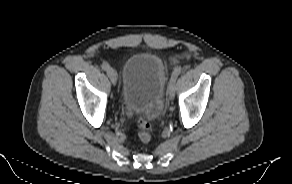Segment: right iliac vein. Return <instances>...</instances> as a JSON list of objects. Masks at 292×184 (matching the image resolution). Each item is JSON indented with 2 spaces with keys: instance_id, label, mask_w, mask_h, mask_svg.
<instances>
[{
  "instance_id": "63e3f726",
  "label": "right iliac vein",
  "mask_w": 292,
  "mask_h": 184,
  "mask_svg": "<svg viewBox=\"0 0 292 184\" xmlns=\"http://www.w3.org/2000/svg\"><path fill=\"white\" fill-rule=\"evenodd\" d=\"M107 75L110 78L112 84L116 85V82H117V73H116V71L113 68H110L107 71Z\"/></svg>"
}]
</instances>
